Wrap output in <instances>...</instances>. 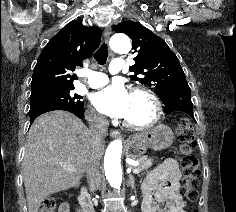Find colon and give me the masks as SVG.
I'll return each instance as SVG.
<instances>
[{
	"mask_svg": "<svg viewBox=\"0 0 236 212\" xmlns=\"http://www.w3.org/2000/svg\"><path fill=\"white\" fill-rule=\"evenodd\" d=\"M178 136L181 140V145L178 151V157L181 163V168L184 174V195L191 201L197 199L198 193L196 190V182L199 177V161L193 148L195 147V136L193 133L192 124L189 119L185 118L181 121ZM57 201L52 197L44 199L39 212H56ZM190 212H197L196 209H191Z\"/></svg>",
	"mask_w": 236,
	"mask_h": 212,
	"instance_id": "5ec220e1",
	"label": "colon"
}]
</instances>
